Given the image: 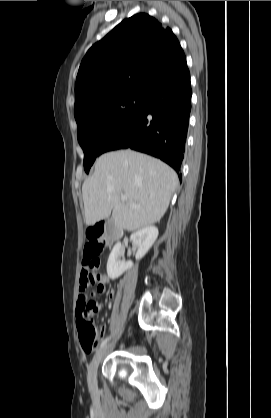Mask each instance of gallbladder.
<instances>
[{
    "mask_svg": "<svg viewBox=\"0 0 271 418\" xmlns=\"http://www.w3.org/2000/svg\"><path fill=\"white\" fill-rule=\"evenodd\" d=\"M120 232H121V229H119L115 225L113 219L111 217L107 218V221H106V233H107V235L108 236H113V235L119 236Z\"/></svg>",
    "mask_w": 271,
    "mask_h": 418,
    "instance_id": "obj_1",
    "label": "gallbladder"
}]
</instances>
